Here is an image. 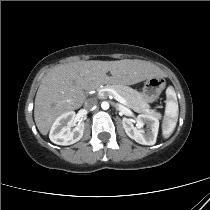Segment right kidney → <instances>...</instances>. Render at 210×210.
Instances as JSON below:
<instances>
[{"label": "right kidney", "mask_w": 210, "mask_h": 210, "mask_svg": "<svg viewBox=\"0 0 210 210\" xmlns=\"http://www.w3.org/2000/svg\"><path fill=\"white\" fill-rule=\"evenodd\" d=\"M75 112L69 111L59 116L53 123L49 138L57 145H71L79 141L84 132V123H79L73 130L75 124Z\"/></svg>", "instance_id": "obj_1"}]
</instances>
